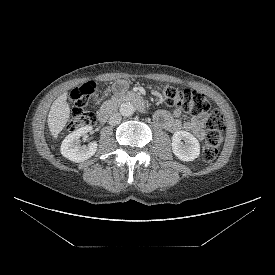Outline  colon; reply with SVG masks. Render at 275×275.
Returning a JSON list of instances; mask_svg holds the SVG:
<instances>
[{
	"instance_id": "5ec220e1",
	"label": "colon",
	"mask_w": 275,
	"mask_h": 275,
	"mask_svg": "<svg viewBox=\"0 0 275 275\" xmlns=\"http://www.w3.org/2000/svg\"><path fill=\"white\" fill-rule=\"evenodd\" d=\"M161 98L169 107L181 108L184 112L199 115L208 113L206 122L207 132L202 156L206 161L213 160L222 143L225 131V122L218 109H211V105L204 94L190 89L179 90L171 86L161 89ZM96 85L87 82L72 90L70 99L73 102V112L67 124L68 131L90 125L96 120L95 109Z\"/></svg>"
}]
</instances>
